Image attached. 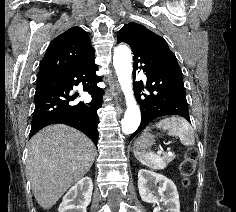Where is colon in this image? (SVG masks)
<instances>
[{
    "label": "colon",
    "mask_w": 236,
    "mask_h": 212,
    "mask_svg": "<svg viewBox=\"0 0 236 212\" xmlns=\"http://www.w3.org/2000/svg\"><path fill=\"white\" fill-rule=\"evenodd\" d=\"M197 156L198 153L195 149H189L186 152L185 158L179 165L180 176L185 187L190 185V179L195 173Z\"/></svg>",
    "instance_id": "colon-1"
}]
</instances>
